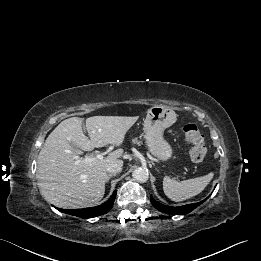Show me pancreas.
I'll list each match as a JSON object with an SVG mask.
<instances>
[{
  "mask_svg": "<svg viewBox=\"0 0 261 261\" xmlns=\"http://www.w3.org/2000/svg\"><path fill=\"white\" fill-rule=\"evenodd\" d=\"M132 143H133V144H138V145L141 144V142H140L137 138H134V139L132 140Z\"/></svg>",
  "mask_w": 261,
  "mask_h": 261,
  "instance_id": "obj_1",
  "label": "pancreas"
}]
</instances>
